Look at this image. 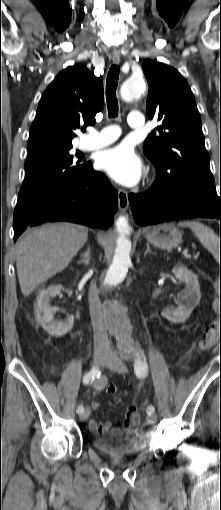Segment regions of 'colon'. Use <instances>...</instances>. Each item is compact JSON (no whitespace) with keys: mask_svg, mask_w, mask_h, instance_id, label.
I'll return each mask as SVG.
<instances>
[{"mask_svg":"<svg viewBox=\"0 0 221 510\" xmlns=\"http://www.w3.org/2000/svg\"><path fill=\"white\" fill-rule=\"evenodd\" d=\"M221 342V317L220 322L212 325L203 335L202 339L199 342V347L203 351H208L212 349L217 342ZM107 392L111 395L117 392V387L114 384H110L107 388ZM118 401V400H117ZM133 416L139 420L138 411L133 412Z\"/></svg>","mask_w":221,"mask_h":510,"instance_id":"5ec220e1","label":"colon"}]
</instances>
